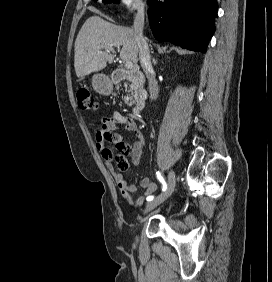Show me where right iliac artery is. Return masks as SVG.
<instances>
[{"label": "right iliac artery", "mask_w": 272, "mask_h": 282, "mask_svg": "<svg viewBox=\"0 0 272 282\" xmlns=\"http://www.w3.org/2000/svg\"><path fill=\"white\" fill-rule=\"evenodd\" d=\"M157 178L161 181L163 187H162V191H165L166 190V187H167V184L165 183L164 179L162 178L160 172H157ZM154 196H148L147 197V201H151L153 200Z\"/></svg>", "instance_id": "obj_1"}]
</instances>
